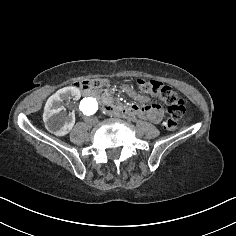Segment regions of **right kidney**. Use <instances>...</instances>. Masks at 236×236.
Wrapping results in <instances>:
<instances>
[{"mask_svg": "<svg viewBox=\"0 0 236 236\" xmlns=\"http://www.w3.org/2000/svg\"><path fill=\"white\" fill-rule=\"evenodd\" d=\"M67 97L79 99L81 94L77 87H65L49 98V102L44 107L43 119L46 129L56 136H64L70 132L75 124V116H65L60 110L66 103ZM50 120L53 122L51 123Z\"/></svg>", "mask_w": 236, "mask_h": 236, "instance_id": "1", "label": "right kidney"}]
</instances>
